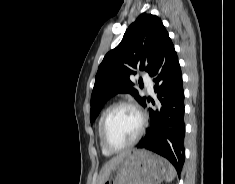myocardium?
Wrapping results in <instances>:
<instances>
[{
    "mask_svg": "<svg viewBox=\"0 0 235 184\" xmlns=\"http://www.w3.org/2000/svg\"><path fill=\"white\" fill-rule=\"evenodd\" d=\"M122 107H129L133 109L139 116L140 125H139L137 134L130 142L122 146L115 147V146H112L107 140L108 125H109V120H110L112 113L115 110L122 108ZM146 125H147V116L139 106L129 101L117 102L106 111L103 117L101 132H100V143L105 151L111 154L120 153L123 150L134 146L141 139V137L143 136L145 132Z\"/></svg>",
    "mask_w": 235,
    "mask_h": 184,
    "instance_id": "obj_1",
    "label": "myocardium"
}]
</instances>
